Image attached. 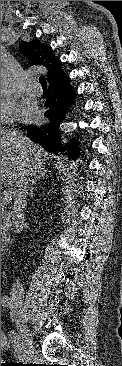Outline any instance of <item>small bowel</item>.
I'll list each match as a JSON object with an SVG mask.
<instances>
[{
  "label": "small bowel",
  "instance_id": "small-bowel-1",
  "mask_svg": "<svg viewBox=\"0 0 122 366\" xmlns=\"http://www.w3.org/2000/svg\"><path fill=\"white\" fill-rule=\"evenodd\" d=\"M4 347V342H1V348Z\"/></svg>",
  "mask_w": 122,
  "mask_h": 366
}]
</instances>
